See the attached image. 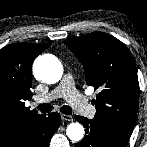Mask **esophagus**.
I'll return each instance as SVG.
<instances>
[{
    "label": "esophagus",
    "mask_w": 147,
    "mask_h": 147,
    "mask_svg": "<svg viewBox=\"0 0 147 147\" xmlns=\"http://www.w3.org/2000/svg\"><path fill=\"white\" fill-rule=\"evenodd\" d=\"M61 118H62V120H64V121H69V122H72V121H73V117H72L71 115L62 114V115H61Z\"/></svg>",
    "instance_id": "1"
}]
</instances>
